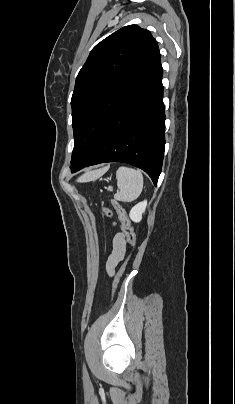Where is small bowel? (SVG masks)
Listing matches in <instances>:
<instances>
[{
  "label": "small bowel",
  "mask_w": 235,
  "mask_h": 404,
  "mask_svg": "<svg viewBox=\"0 0 235 404\" xmlns=\"http://www.w3.org/2000/svg\"><path fill=\"white\" fill-rule=\"evenodd\" d=\"M126 253V242L123 234L118 233L112 240V251L106 261V271L110 276L115 274L116 267L123 261Z\"/></svg>",
  "instance_id": "1"
}]
</instances>
